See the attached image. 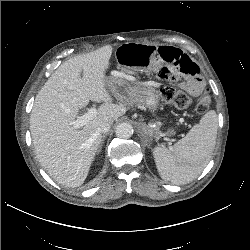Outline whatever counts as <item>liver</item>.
<instances>
[{
  "label": "liver",
  "instance_id": "obj_1",
  "mask_svg": "<svg viewBox=\"0 0 250 250\" xmlns=\"http://www.w3.org/2000/svg\"><path fill=\"white\" fill-rule=\"evenodd\" d=\"M111 54L112 47L106 45L65 61L41 88L31 111L30 131L39 163L56 182L70 188L81 186L88 176L102 139L100 123L126 113L124 106L113 102L106 85ZM89 100L103 104L82 129H75L72 123Z\"/></svg>",
  "mask_w": 250,
  "mask_h": 250
}]
</instances>
